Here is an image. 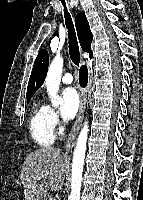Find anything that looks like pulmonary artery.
I'll return each instance as SVG.
<instances>
[{"label": "pulmonary artery", "mask_w": 143, "mask_h": 200, "mask_svg": "<svg viewBox=\"0 0 143 200\" xmlns=\"http://www.w3.org/2000/svg\"><path fill=\"white\" fill-rule=\"evenodd\" d=\"M62 82L64 84H71L73 82V76L70 73H66L62 77Z\"/></svg>", "instance_id": "pulmonary-artery-1"}]
</instances>
